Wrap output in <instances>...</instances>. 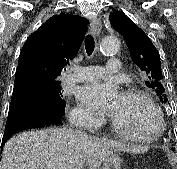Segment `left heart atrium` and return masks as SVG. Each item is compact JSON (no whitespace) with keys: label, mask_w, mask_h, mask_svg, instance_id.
<instances>
[{"label":"left heart atrium","mask_w":177,"mask_h":169,"mask_svg":"<svg viewBox=\"0 0 177 169\" xmlns=\"http://www.w3.org/2000/svg\"><path fill=\"white\" fill-rule=\"evenodd\" d=\"M120 97L119 89L113 81L90 83L77 91V100L81 105L102 114L111 115Z\"/></svg>","instance_id":"obj_1"}]
</instances>
